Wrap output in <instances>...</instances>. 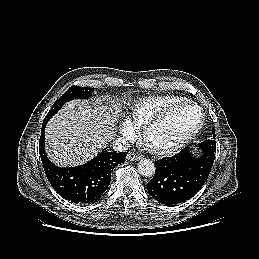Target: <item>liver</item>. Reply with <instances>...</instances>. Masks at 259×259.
<instances>
[{
    "label": "liver",
    "mask_w": 259,
    "mask_h": 259,
    "mask_svg": "<svg viewBox=\"0 0 259 259\" xmlns=\"http://www.w3.org/2000/svg\"><path fill=\"white\" fill-rule=\"evenodd\" d=\"M92 108L87 101H71L55 115L46 127V151L58 166L81 165L92 159L113 138L120 112L115 102Z\"/></svg>",
    "instance_id": "6515ba94"
}]
</instances>
